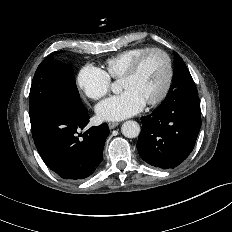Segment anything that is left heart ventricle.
I'll return each mask as SVG.
<instances>
[{
  "label": "left heart ventricle",
  "mask_w": 232,
  "mask_h": 232,
  "mask_svg": "<svg viewBox=\"0 0 232 232\" xmlns=\"http://www.w3.org/2000/svg\"><path fill=\"white\" fill-rule=\"evenodd\" d=\"M166 74L165 58L159 53H153L145 58L132 78L120 81V88L134 92L146 103L161 92Z\"/></svg>",
  "instance_id": "left-heart-ventricle-1"
}]
</instances>
